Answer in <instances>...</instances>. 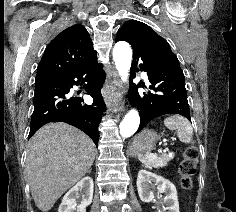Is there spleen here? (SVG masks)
Here are the masks:
<instances>
[{
    "instance_id": "1",
    "label": "spleen",
    "mask_w": 236,
    "mask_h": 212,
    "mask_svg": "<svg viewBox=\"0 0 236 212\" xmlns=\"http://www.w3.org/2000/svg\"><path fill=\"white\" fill-rule=\"evenodd\" d=\"M164 125L170 130H175L181 142L189 143L192 141L193 128L185 117L180 115L167 117L164 119ZM138 159L142 163L152 165L154 167L163 166L160 158L152 153L140 154L138 155Z\"/></svg>"
}]
</instances>
